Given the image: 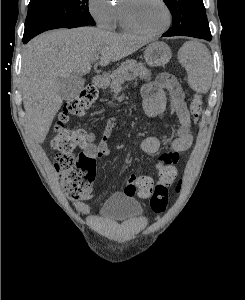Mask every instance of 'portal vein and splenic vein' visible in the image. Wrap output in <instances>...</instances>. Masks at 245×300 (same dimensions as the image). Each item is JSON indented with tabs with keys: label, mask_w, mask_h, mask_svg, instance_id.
Here are the masks:
<instances>
[{
	"label": "portal vein and splenic vein",
	"mask_w": 245,
	"mask_h": 300,
	"mask_svg": "<svg viewBox=\"0 0 245 300\" xmlns=\"http://www.w3.org/2000/svg\"><path fill=\"white\" fill-rule=\"evenodd\" d=\"M98 60H99V57L97 56V57L92 59V62H97Z\"/></svg>",
	"instance_id": "obj_1"
}]
</instances>
